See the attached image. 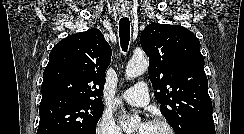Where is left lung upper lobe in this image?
Listing matches in <instances>:
<instances>
[{
	"mask_svg": "<svg viewBox=\"0 0 244 134\" xmlns=\"http://www.w3.org/2000/svg\"><path fill=\"white\" fill-rule=\"evenodd\" d=\"M140 41L155 98L176 134L196 123L214 125L198 38L181 25L151 23Z\"/></svg>",
	"mask_w": 244,
	"mask_h": 134,
	"instance_id": "5c2ea615",
	"label": "left lung upper lobe"
}]
</instances>
